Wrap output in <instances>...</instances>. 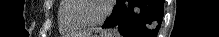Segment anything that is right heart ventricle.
Segmentation results:
<instances>
[{"label": "right heart ventricle", "mask_w": 219, "mask_h": 37, "mask_svg": "<svg viewBox=\"0 0 219 37\" xmlns=\"http://www.w3.org/2000/svg\"><path fill=\"white\" fill-rule=\"evenodd\" d=\"M71 6L72 4L69 0H61L57 6L59 30L62 34L76 32L81 29V27L74 25L67 16Z\"/></svg>", "instance_id": "e07e8e85"}]
</instances>
